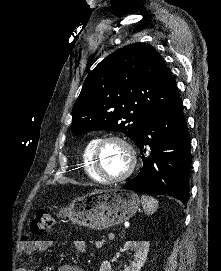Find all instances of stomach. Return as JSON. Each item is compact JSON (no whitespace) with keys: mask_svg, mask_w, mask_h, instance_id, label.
<instances>
[{"mask_svg":"<svg viewBox=\"0 0 221 271\" xmlns=\"http://www.w3.org/2000/svg\"><path fill=\"white\" fill-rule=\"evenodd\" d=\"M141 201L131 189L114 187L109 191H93L81 199L69 202L70 208H63L69 213L73 223L91 227V229H107L111 225L122 223L136 213Z\"/></svg>","mask_w":221,"mask_h":271,"instance_id":"0dacf381","label":"stomach"}]
</instances>
